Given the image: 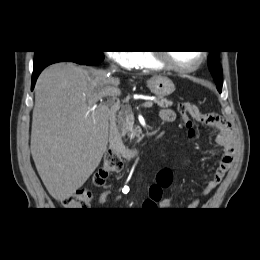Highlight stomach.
<instances>
[{"label":"stomach","instance_id":"1","mask_svg":"<svg viewBox=\"0 0 260 260\" xmlns=\"http://www.w3.org/2000/svg\"><path fill=\"white\" fill-rule=\"evenodd\" d=\"M147 87L158 98H164L175 91V85L171 79L165 76H154L147 81Z\"/></svg>","mask_w":260,"mask_h":260}]
</instances>
